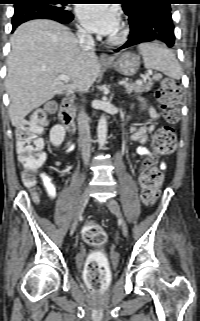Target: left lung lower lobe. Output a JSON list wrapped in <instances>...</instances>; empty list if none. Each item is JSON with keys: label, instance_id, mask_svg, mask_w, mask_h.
I'll return each instance as SVG.
<instances>
[{"label": "left lung lower lobe", "instance_id": "0a47b994", "mask_svg": "<svg viewBox=\"0 0 200 321\" xmlns=\"http://www.w3.org/2000/svg\"><path fill=\"white\" fill-rule=\"evenodd\" d=\"M127 16L130 25L129 39L115 52L151 41L161 42L168 47H173L175 35L172 12L170 10L163 7H149Z\"/></svg>", "mask_w": 200, "mask_h": 321}]
</instances>
